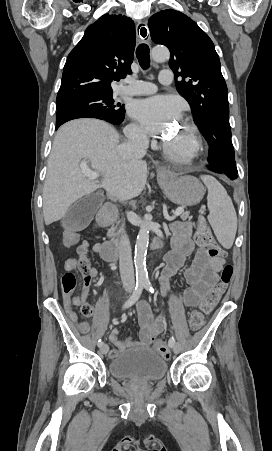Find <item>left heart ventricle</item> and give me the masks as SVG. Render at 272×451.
<instances>
[{"label":"left heart ventricle","instance_id":"left-heart-ventricle-1","mask_svg":"<svg viewBox=\"0 0 272 451\" xmlns=\"http://www.w3.org/2000/svg\"><path fill=\"white\" fill-rule=\"evenodd\" d=\"M175 140L178 141L180 144H183L188 140V132L184 127H180V130L178 131Z\"/></svg>","mask_w":272,"mask_h":451}]
</instances>
